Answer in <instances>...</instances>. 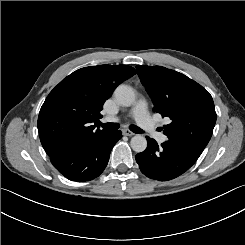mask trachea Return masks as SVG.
Returning <instances> with one entry per match:
<instances>
[{"mask_svg":"<svg viewBox=\"0 0 245 245\" xmlns=\"http://www.w3.org/2000/svg\"><path fill=\"white\" fill-rule=\"evenodd\" d=\"M99 125L105 129H110V130H117L119 128V124H117V123H104V124L99 123ZM129 128L132 132L137 133V134H144L145 133L144 130L137 127L136 125H130Z\"/></svg>","mask_w":245,"mask_h":245,"instance_id":"1","label":"trachea"}]
</instances>
